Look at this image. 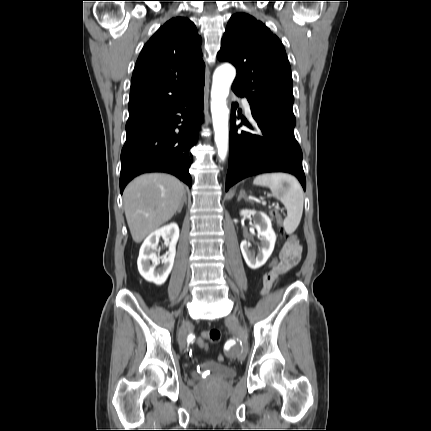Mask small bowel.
<instances>
[{
  "mask_svg": "<svg viewBox=\"0 0 431 431\" xmlns=\"http://www.w3.org/2000/svg\"><path fill=\"white\" fill-rule=\"evenodd\" d=\"M302 236H293V240L286 242L281 251L280 259L277 263L269 265L267 273L262 278V290L263 295L270 292L273 286L276 284L278 278L294 268L301 259L302 254Z\"/></svg>",
  "mask_w": 431,
  "mask_h": 431,
  "instance_id": "1",
  "label": "small bowel"
}]
</instances>
